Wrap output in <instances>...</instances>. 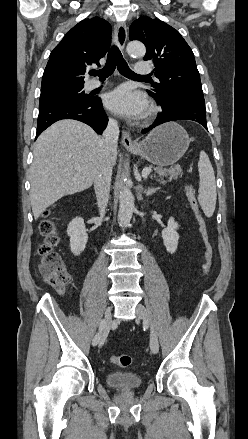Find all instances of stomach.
<instances>
[{
    "label": "stomach",
    "mask_w": 248,
    "mask_h": 439,
    "mask_svg": "<svg viewBox=\"0 0 248 439\" xmlns=\"http://www.w3.org/2000/svg\"><path fill=\"white\" fill-rule=\"evenodd\" d=\"M189 143L186 130L175 122H169L155 128L130 151L157 166L166 167L184 155Z\"/></svg>",
    "instance_id": "stomach-1"
}]
</instances>
